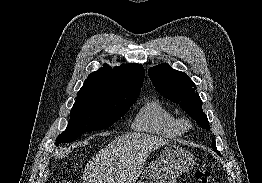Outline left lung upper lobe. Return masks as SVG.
I'll return each mask as SVG.
<instances>
[{
  "label": "left lung upper lobe",
  "mask_w": 262,
  "mask_h": 183,
  "mask_svg": "<svg viewBox=\"0 0 262 183\" xmlns=\"http://www.w3.org/2000/svg\"><path fill=\"white\" fill-rule=\"evenodd\" d=\"M148 75L159 93L179 104L203 129L210 128L207 116L202 110V101L195 91L196 85L184 72L162 63L149 68ZM212 147L220 155L215 140H212Z\"/></svg>",
  "instance_id": "5c2ea615"
}]
</instances>
